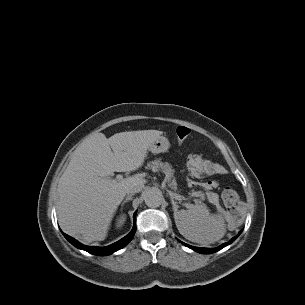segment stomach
<instances>
[{
    "mask_svg": "<svg viewBox=\"0 0 305 305\" xmlns=\"http://www.w3.org/2000/svg\"><path fill=\"white\" fill-rule=\"evenodd\" d=\"M169 148H170L169 140L164 136H160L149 146L148 150L153 154H158V153L167 152Z\"/></svg>",
    "mask_w": 305,
    "mask_h": 305,
    "instance_id": "1",
    "label": "stomach"
}]
</instances>
